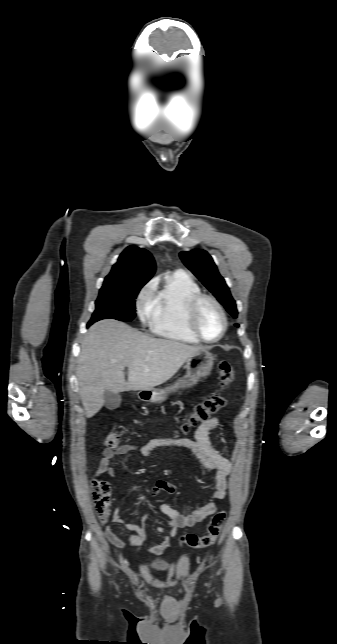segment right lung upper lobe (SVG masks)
Segmentation results:
<instances>
[{"mask_svg":"<svg viewBox=\"0 0 337 644\" xmlns=\"http://www.w3.org/2000/svg\"><path fill=\"white\" fill-rule=\"evenodd\" d=\"M152 255L136 246L127 247L113 265L102 287L133 286L146 284L155 273Z\"/></svg>","mask_w":337,"mask_h":644,"instance_id":"1","label":"right lung upper lobe"}]
</instances>
